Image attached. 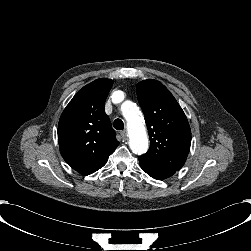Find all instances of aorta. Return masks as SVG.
I'll list each match as a JSON object with an SVG mask.
<instances>
[{
  "mask_svg": "<svg viewBox=\"0 0 251 251\" xmlns=\"http://www.w3.org/2000/svg\"><path fill=\"white\" fill-rule=\"evenodd\" d=\"M123 95L122 91H115L112 96L113 102H121ZM121 111L127 122L130 149L134 154H144L148 150V137L139 108L135 103L126 101L122 104Z\"/></svg>",
  "mask_w": 251,
  "mask_h": 251,
  "instance_id": "1",
  "label": "aorta"
}]
</instances>
